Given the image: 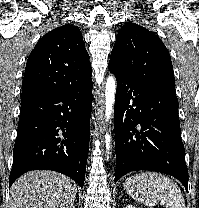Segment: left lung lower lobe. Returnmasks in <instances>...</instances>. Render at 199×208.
<instances>
[{
  "instance_id": "0a47b994",
  "label": "left lung lower lobe",
  "mask_w": 199,
  "mask_h": 208,
  "mask_svg": "<svg viewBox=\"0 0 199 208\" xmlns=\"http://www.w3.org/2000/svg\"><path fill=\"white\" fill-rule=\"evenodd\" d=\"M115 182L135 170L166 173L188 188L176 95L145 85L116 67Z\"/></svg>"
}]
</instances>
